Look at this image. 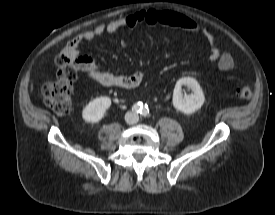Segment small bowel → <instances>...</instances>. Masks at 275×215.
<instances>
[{
    "label": "small bowel",
    "mask_w": 275,
    "mask_h": 215,
    "mask_svg": "<svg viewBox=\"0 0 275 215\" xmlns=\"http://www.w3.org/2000/svg\"><path fill=\"white\" fill-rule=\"evenodd\" d=\"M142 23L149 26H170L190 33L200 34L209 48V59L217 63L220 71H230L234 67L231 55L220 51L215 44L213 35L196 20L173 10L159 9L138 11L126 17L99 24L95 28L73 37L64 47L59 57H65L77 72L84 74L87 78L103 86L119 88L137 87L144 79L141 71H135L130 75H117L103 71L91 56L81 55L79 48L83 42L92 41L103 34L115 33L120 29L131 30ZM122 43L125 45V41Z\"/></svg>",
    "instance_id": "1"
}]
</instances>
